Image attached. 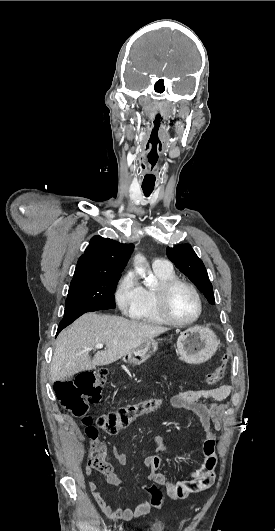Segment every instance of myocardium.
I'll return each instance as SVG.
<instances>
[{
    "mask_svg": "<svg viewBox=\"0 0 275 531\" xmlns=\"http://www.w3.org/2000/svg\"><path fill=\"white\" fill-rule=\"evenodd\" d=\"M181 285L187 288L195 297L196 303H197V312L195 316L189 320L186 321H180L177 320L172 316V314L169 311L168 308V299L171 291L174 287ZM156 302H157V308L161 316L167 321L168 323L175 325V326H189L193 323H195L202 315L203 311V305L201 297L197 291V289L189 282L180 279V278H171L166 281L160 282L156 289Z\"/></svg>",
    "mask_w": 275,
    "mask_h": 531,
    "instance_id": "myocardium-1",
    "label": "myocardium"
}]
</instances>
